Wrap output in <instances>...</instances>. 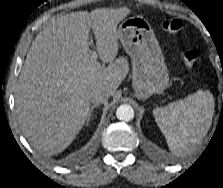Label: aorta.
Segmentation results:
<instances>
[{
  "label": "aorta",
  "mask_w": 223,
  "mask_h": 188,
  "mask_svg": "<svg viewBox=\"0 0 223 188\" xmlns=\"http://www.w3.org/2000/svg\"><path fill=\"white\" fill-rule=\"evenodd\" d=\"M116 116L121 121L129 122L134 118V110L130 105L123 104L117 108Z\"/></svg>",
  "instance_id": "762f6f07"
}]
</instances>
